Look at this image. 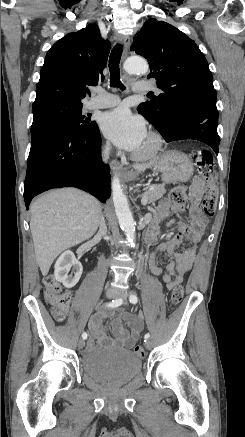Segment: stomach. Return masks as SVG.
<instances>
[{"label":"stomach","instance_id":"1","mask_svg":"<svg viewBox=\"0 0 245 437\" xmlns=\"http://www.w3.org/2000/svg\"><path fill=\"white\" fill-rule=\"evenodd\" d=\"M153 168L161 172L164 183L186 182L193 174L194 168L190 158L179 151H167L161 155ZM139 172H131L128 180H133Z\"/></svg>","mask_w":245,"mask_h":437}]
</instances>
